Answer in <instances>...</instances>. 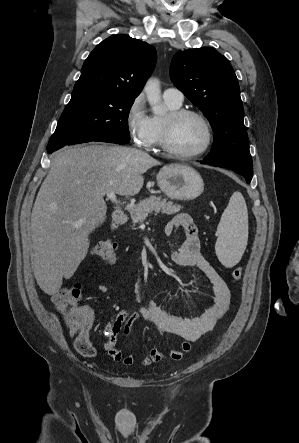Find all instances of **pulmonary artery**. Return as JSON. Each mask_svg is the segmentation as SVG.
Listing matches in <instances>:
<instances>
[{
    "label": "pulmonary artery",
    "mask_w": 299,
    "mask_h": 443,
    "mask_svg": "<svg viewBox=\"0 0 299 443\" xmlns=\"http://www.w3.org/2000/svg\"><path fill=\"white\" fill-rule=\"evenodd\" d=\"M163 97L165 100L177 105H181L184 100L183 93L174 87L165 89L163 92Z\"/></svg>",
    "instance_id": "e3ab8cb5"
}]
</instances>
